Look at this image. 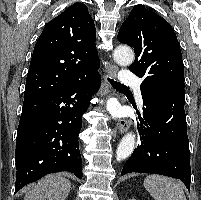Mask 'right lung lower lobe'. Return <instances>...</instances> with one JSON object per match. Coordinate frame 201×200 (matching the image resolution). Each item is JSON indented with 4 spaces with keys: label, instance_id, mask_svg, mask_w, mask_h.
Wrapping results in <instances>:
<instances>
[{
    "label": "right lung lower lobe",
    "instance_id": "right-lung-lower-lobe-1",
    "mask_svg": "<svg viewBox=\"0 0 201 200\" xmlns=\"http://www.w3.org/2000/svg\"><path fill=\"white\" fill-rule=\"evenodd\" d=\"M95 73L59 91L24 99L16 140L15 193L50 173L68 171L82 178L78 136L82 115L99 84Z\"/></svg>",
    "mask_w": 201,
    "mask_h": 200
}]
</instances>
